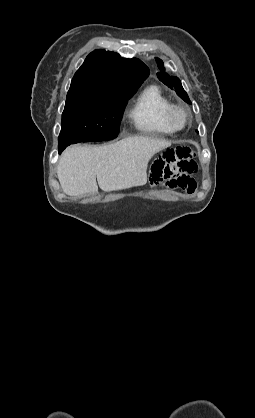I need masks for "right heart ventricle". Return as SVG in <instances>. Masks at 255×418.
<instances>
[{
  "label": "right heart ventricle",
  "mask_w": 255,
  "mask_h": 418,
  "mask_svg": "<svg viewBox=\"0 0 255 418\" xmlns=\"http://www.w3.org/2000/svg\"><path fill=\"white\" fill-rule=\"evenodd\" d=\"M171 105L169 98L157 85H148L137 96L129 112L135 129L148 135H169L174 130L166 121Z\"/></svg>",
  "instance_id": "e07e8e85"
}]
</instances>
